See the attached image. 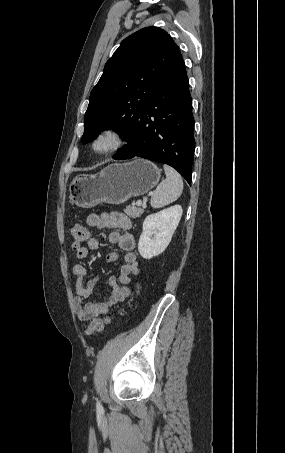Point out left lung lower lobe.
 <instances>
[{"instance_id":"0a47b994","label":"left lung lower lobe","mask_w":285,"mask_h":453,"mask_svg":"<svg viewBox=\"0 0 285 453\" xmlns=\"http://www.w3.org/2000/svg\"><path fill=\"white\" fill-rule=\"evenodd\" d=\"M116 160L134 156L176 169L191 185L194 118L185 64L178 50L141 111Z\"/></svg>"}]
</instances>
